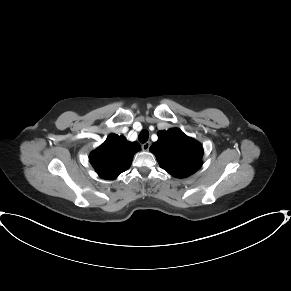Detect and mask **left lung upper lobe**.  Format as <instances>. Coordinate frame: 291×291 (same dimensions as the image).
Wrapping results in <instances>:
<instances>
[{
    "label": "left lung upper lobe",
    "instance_id": "left-lung-upper-lobe-1",
    "mask_svg": "<svg viewBox=\"0 0 291 291\" xmlns=\"http://www.w3.org/2000/svg\"><path fill=\"white\" fill-rule=\"evenodd\" d=\"M150 151L160 167L177 178L194 174L202 165V145L178 128L159 131L158 141L153 143Z\"/></svg>",
    "mask_w": 291,
    "mask_h": 291
}]
</instances>
